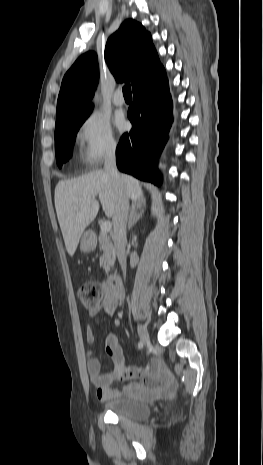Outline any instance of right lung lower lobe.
I'll use <instances>...</instances> for the list:
<instances>
[{
  "instance_id": "1",
  "label": "right lung lower lobe",
  "mask_w": 263,
  "mask_h": 465,
  "mask_svg": "<svg viewBox=\"0 0 263 465\" xmlns=\"http://www.w3.org/2000/svg\"><path fill=\"white\" fill-rule=\"evenodd\" d=\"M133 94V103L128 109L133 126L117 146V167L141 180L160 184L157 160L168 140L173 110L165 69L162 67L137 84Z\"/></svg>"
}]
</instances>
